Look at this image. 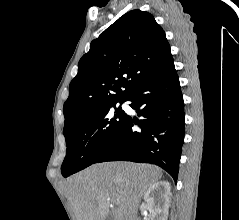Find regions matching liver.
Listing matches in <instances>:
<instances>
[{
	"label": "liver",
	"instance_id": "6515ba94",
	"mask_svg": "<svg viewBox=\"0 0 239 220\" xmlns=\"http://www.w3.org/2000/svg\"><path fill=\"white\" fill-rule=\"evenodd\" d=\"M161 177L153 165L99 163L70 177L64 191L76 220H136L141 198Z\"/></svg>",
	"mask_w": 239,
	"mask_h": 220
}]
</instances>
